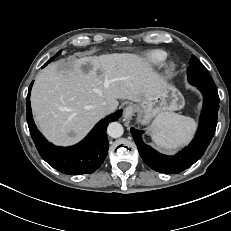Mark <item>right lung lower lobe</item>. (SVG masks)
I'll return each instance as SVG.
<instances>
[{
	"mask_svg": "<svg viewBox=\"0 0 231 231\" xmlns=\"http://www.w3.org/2000/svg\"><path fill=\"white\" fill-rule=\"evenodd\" d=\"M32 85L33 82L29 86L26 98L27 123L41 157L64 174L79 175L94 172L102 165L108 153L106 128L110 122L118 120L122 112L118 110L99 121L80 143L70 147H57L48 142L36 128L29 100Z\"/></svg>",
	"mask_w": 231,
	"mask_h": 231,
	"instance_id": "obj_1",
	"label": "right lung lower lobe"
}]
</instances>
